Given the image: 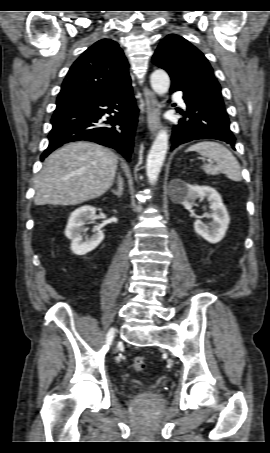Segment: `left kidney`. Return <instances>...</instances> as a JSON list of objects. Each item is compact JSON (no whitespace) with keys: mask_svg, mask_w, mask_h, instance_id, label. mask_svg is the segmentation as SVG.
<instances>
[{"mask_svg":"<svg viewBox=\"0 0 270 453\" xmlns=\"http://www.w3.org/2000/svg\"><path fill=\"white\" fill-rule=\"evenodd\" d=\"M205 197H207L213 211L212 222L204 223L201 220H196L194 230L208 242L218 243L224 238L230 222L229 214L220 194L210 186L184 184L180 201L185 209L191 210L197 199Z\"/></svg>","mask_w":270,"mask_h":453,"instance_id":"1","label":"left kidney"}]
</instances>
